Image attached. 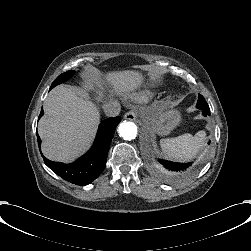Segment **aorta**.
<instances>
[{
    "label": "aorta",
    "mask_w": 251,
    "mask_h": 251,
    "mask_svg": "<svg viewBox=\"0 0 251 251\" xmlns=\"http://www.w3.org/2000/svg\"><path fill=\"white\" fill-rule=\"evenodd\" d=\"M118 133L124 140L135 139L137 135V126L134 122H122L118 127Z\"/></svg>",
    "instance_id": "aorta-1"
}]
</instances>
